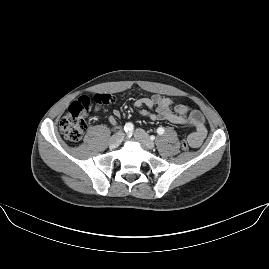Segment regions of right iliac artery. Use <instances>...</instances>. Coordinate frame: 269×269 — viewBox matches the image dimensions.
Segmentation results:
<instances>
[{
	"label": "right iliac artery",
	"instance_id": "right-iliac-artery-1",
	"mask_svg": "<svg viewBox=\"0 0 269 269\" xmlns=\"http://www.w3.org/2000/svg\"><path fill=\"white\" fill-rule=\"evenodd\" d=\"M124 131L127 133H130L133 131V124L132 123H126L124 126Z\"/></svg>",
	"mask_w": 269,
	"mask_h": 269
}]
</instances>
